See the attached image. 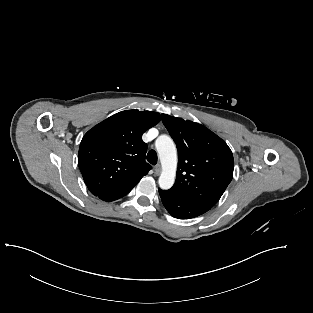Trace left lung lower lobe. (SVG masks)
<instances>
[{
	"mask_svg": "<svg viewBox=\"0 0 313 313\" xmlns=\"http://www.w3.org/2000/svg\"><path fill=\"white\" fill-rule=\"evenodd\" d=\"M159 194L167 211L178 219L194 218L202 215L211 208L207 205L182 198L170 190L164 191L159 189Z\"/></svg>",
	"mask_w": 313,
	"mask_h": 313,
	"instance_id": "left-lung-lower-lobe-1",
	"label": "left lung lower lobe"
}]
</instances>
